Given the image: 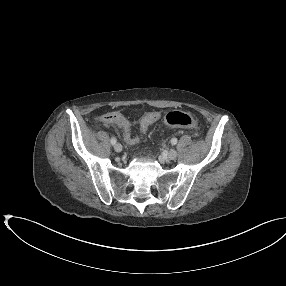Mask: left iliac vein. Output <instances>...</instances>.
Segmentation results:
<instances>
[{
  "label": "left iliac vein",
  "mask_w": 286,
  "mask_h": 286,
  "mask_svg": "<svg viewBox=\"0 0 286 286\" xmlns=\"http://www.w3.org/2000/svg\"><path fill=\"white\" fill-rule=\"evenodd\" d=\"M177 157V151L175 149H171L168 152V159L174 160Z\"/></svg>",
  "instance_id": "obj_1"
}]
</instances>
